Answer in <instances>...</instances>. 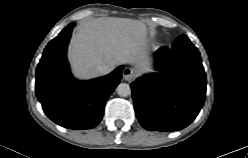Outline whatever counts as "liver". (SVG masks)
<instances>
[{"instance_id":"obj_1","label":"liver","mask_w":248,"mask_h":158,"mask_svg":"<svg viewBox=\"0 0 248 158\" xmlns=\"http://www.w3.org/2000/svg\"><path fill=\"white\" fill-rule=\"evenodd\" d=\"M147 28L128 18H97L76 28L68 56L74 73L80 78L99 76L102 65L115 67L129 63L141 72L150 71Z\"/></svg>"}]
</instances>
